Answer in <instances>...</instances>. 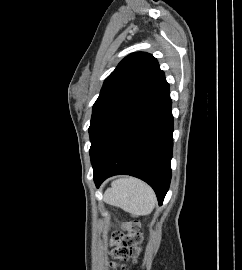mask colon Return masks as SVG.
Wrapping results in <instances>:
<instances>
[{
  "instance_id": "1",
  "label": "colon",
  "mask_w": 242,
  "mask_h": 270,
  "mask_svg": "<svg viewBox=\"0 0 242 270\" xmlns=\"http://www.w3.org/2000/svg\"><path fill=\"white\" fill-rule=\"evenodd\" d=\"M111 242V268L125 270L124 263L130 258H135L140 252L142 235L137 231L134 224L126 234H112Z\"/></svg>"
}]
</instances>
